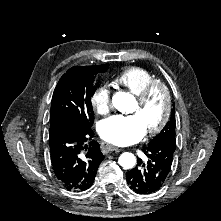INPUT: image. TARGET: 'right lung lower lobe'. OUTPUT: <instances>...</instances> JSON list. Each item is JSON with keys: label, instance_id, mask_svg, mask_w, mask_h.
<instances>
[{"label": "right lung lower lobe", "instance_id": "98d812e1", "mask_svg": "<svg viewBox=\"0 0 221 221\" xmlns=\"http://www.w3.org/2000/svg\"><path fill=\"white\" fill-rule=\"evenodd\" d=\"M90 127L67 125L49 133L51 162L59 182L69 191H84L95 179L104 159L99 144L91 141Z\"/></svg>", "mask_w": 221, "mask_h": 221}]
</instances>
